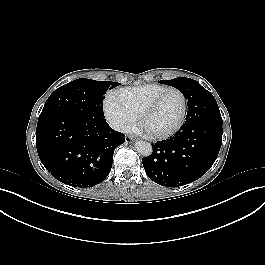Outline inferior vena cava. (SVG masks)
<instances>
[{
    "label": "inferior vena cava",
    "instance_id": "1",
    "mask_svg": "<svg viewBox=\"0 0 265 265\" xmlns=\"http://www.w3.org/2000/svg\"><path fill=\"white\" fill-rule=\"evenodd\" d=\"M108 123L116 131L126 133L128 130L126 123H124L123 121L119 119L112 118L108 121Z\"/></svg>",
    "mask_w": 265,
    "mask_h": 265
}]
</instances>
